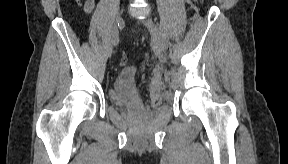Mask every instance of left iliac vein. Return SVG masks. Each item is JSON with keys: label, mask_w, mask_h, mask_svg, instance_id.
Instances as JSON below:
<instances>
[{"label": "left iliac vein", "mask_w": 288, "mask_h": 164, "mask_svg": "<svg viewBox=\"0 0 288 164\" xmlns=\"http://www.w3.org/2000/svg\"><path fill=\"white\" fill-rule=\"evenodd\" d=\"M150 32L151 39L159 52H164L167 48V42L164 34L151 18L142 21Z\"/></svg>", "instance_id": "obj_1"}]
</instances>
